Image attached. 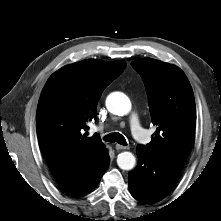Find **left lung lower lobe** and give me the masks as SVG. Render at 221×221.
<instances>
[{
    "label": "left lung lower lobe",
    "mask_w": 221,
    "mask_h": 221,
    "mask_svg": "<svg viewBox=\"0 0 221 221\" xmlns=\"http://www.w3.org/2000/svg\"><path fill=\"white\" fill-rule=\"evenodd\" d=\"M138 164L129 172L131 195L143 203L163 199L175 186L181 167L171 164L137 146Z\"/></svg>",
    "instance_id": "obj_1"
}]
</instances>
